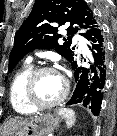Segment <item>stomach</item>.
<instances>
[{"mask_svg":"<svg viewBox=\"0 0 117 136\" xmlns=\"http://www.w3.org/2000/svg\"><path fill=\"white\" fill-rule=\"evenodd\" d=\"M61 122L58 115L40 114L21 127L11 136H46L52 133Z\"/></svg>","mask_w":117,"mask_h":136,"instance_id":"stomach-1","label":"stomach"}]
</instances>
